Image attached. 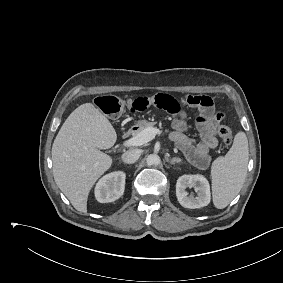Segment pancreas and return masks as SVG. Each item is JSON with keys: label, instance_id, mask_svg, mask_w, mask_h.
Returning a JSON list of instances; mask_svg holds the SVG:
<instances>
[{"label": "pancreas", "instance_id": "1", "mask_svg": "<svg viewBox=\"0 0 283 283\" xmlns=\"http://www.w3.org/2000/svg\"><path fill=\"white\" fill-rule=\"evenodd\" d=\"M155 122H146L144 125H142L141 127H139V129L134 133L135 135L139 134L140 132H142L143 130H145L146 128H155ZM131 132H128V134H130Z\"/></svg>", "mask_w": 283, "mask_h": 283}]
</instances>
